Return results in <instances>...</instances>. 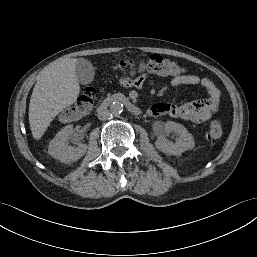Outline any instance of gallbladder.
I'll return each instance as SVG.
<instances>
[{"instance_id": "gallbladder-1", "label": "gallbladder", "mask_w": 257, "mask_h": 257, "mask_svg": "<svg viewBox=\"0 0 257 257\" xmlns=\"http://www.w3.org/2000/svg\"><path fill=\"white\" fill-rule=\"evenodd\" d=\"M75 72L79 83L83 85L91 83L94 79V68L87 59L80 58L77 60Z\"/></svg>"}]
</instances>
